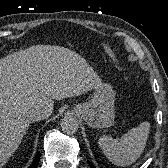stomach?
Wrapping results in <instances>:
<instances>
[{"label":"stomach","instance_id":"0dacf381","mask_svg":"<svg viewBox=\"0 0 168 168\" xmlns=\"http://www.w3.org/2000/svg\"><path fill=\"white\" fill-rule=\"evenodd\" d=\"M115 92L111 85L100 84L95 88L92 99L75 106V111L93 128L110 127L115 118Z\"/></svg>","mask_w":168,"mask_h":168}]
</instances>
